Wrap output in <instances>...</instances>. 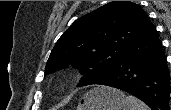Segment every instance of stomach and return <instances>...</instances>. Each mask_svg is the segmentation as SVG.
Here are the masks:
<instances>
[{"label":"stomach","instance_id":"obj_1","mask_svg":"<svg viewBox=\"0 0 171 110\" xmlns=\"http://www.w3.org/2000/svg\"><path fill=\"white\" fill-rule=\"evenodd\" d=\"M77 110H129V104L120 90L96 87L83 96Z\"/></svg>","mask_w":171,"mask_h":110}]
</instances>
